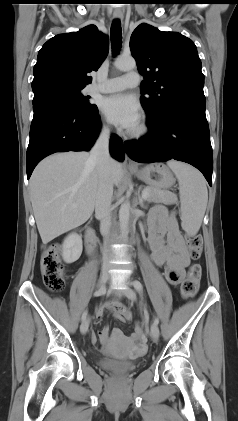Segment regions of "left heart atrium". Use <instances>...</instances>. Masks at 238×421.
I'll use <instances>...</instances> for the list:
<instances>
[{
  "mask_svg": "<svg viewBox=\"0 0 238 421\" xmlns=\"http://www.w3.org/2000/svg\"><path fill=\"white\" fill-rule=\"evenodd\" d=\"M101 110L107 119L116 126L134 130L140 121V107L137 100L126 94H115L105 98Z\"/></svg>",
  "mask_w": 238,
  "mask_h": 421,
  "instance_id": "obj_1",
  "label": "left heart atrium"
}]
</instances>
